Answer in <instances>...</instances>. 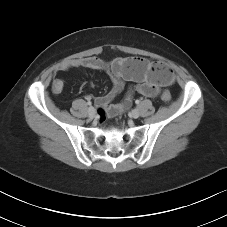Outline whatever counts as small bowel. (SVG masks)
<instances>
[{
  "label": "small bowel",
  "instance_id": "obj_1",
  "mask_svg": "<svg viewBox=\"0 0 227 227\" xmlns=\"http://www.w3.org/2000/svg\"><path fill=\"white\" fill-rule=\"evenodd\" d=\"M73 68H87L108 73L112 80V87L108 93L96 98L98 106L106 109L109 116H117L126 111L132 104L133 96L139 93L145 97L155 98L160 87L169 84L172 79L151 67V62L138 57H119L111 61L96 56L81 57L61 65L58 71H68ZM130 83L124 99L117 104L111 102L123 92L126 84ZM63 80L55 78L52 82V91L56 94L63 89Z\"/></svg>",
  "mask_w": 227,
  "mask_h": 227
}]
</instances>
